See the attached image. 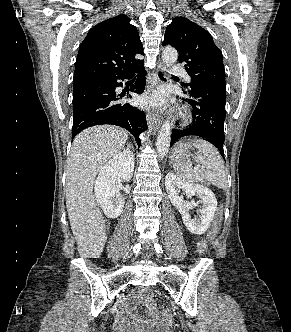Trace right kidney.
Listing matches in <instances>:
<instances>
[{
  "instance_id": "obj_1",
  "label": "right kidney",
  "mask_w": 291,
  "mask_h": 332,
  "mask_svg": "<svg viewBox=\"0 0 291 332\" xmlns=\"http://www.w3.org/2000/svg\"><path fill=\"white\" fill-rule=\"evenodd\" d=\"M134 170V157L129 150L113 156L95 182L96 202L108 218H117L123 211L125 200L120 195L119 184L129 181Z\"/></svg>"
}]
</instances>
